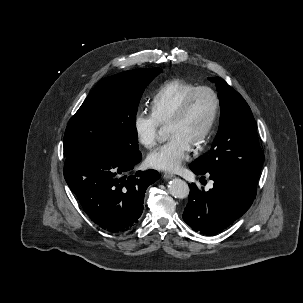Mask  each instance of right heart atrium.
<instances>
[{"instance_id":"d8ad5b80","label":"right heart atrium","mask_w":303,"mask_h":303,"mask_svg":"<svg viewBox=\"0 0 303 303\" xmlns=\"http://www.w3.org/2000/svg\"><path fill=\"white\" fill-rule=\"evenodd\" d=\"M160 123L152 113L138 111L133 118V129L138 141L146 148H152L158 139Z\"/></svg>"}]
</instances>
